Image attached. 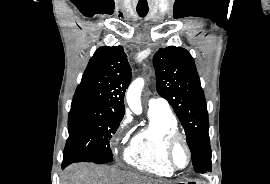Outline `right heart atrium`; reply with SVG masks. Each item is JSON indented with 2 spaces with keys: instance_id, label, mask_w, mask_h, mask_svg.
Returning <instances> with one entry per match:
<instances>
[{
  "instance_id": "right-heart-atrium-1",
  "label": "right heart atrium",
  "mask_w": 270,
  "mask_h": 184,
  "mask_svg": "<svg viewBox=\"0 0 270 184\" xmlns=\"http://www.w3.org/2000/svg\"><path fill=\"white\" fill-rule=\"evenodd\" d=\"M131 124V117L128 114H125L123 118L118 123L113 135H112V141L115 144L117 141H119L120 138L123 137V135L127 132L128 128Z\"/></svg>"
}]
</instances>
